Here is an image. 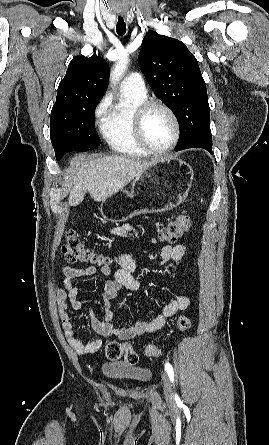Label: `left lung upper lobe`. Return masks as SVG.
Returning <instances> with one entry per match:
<instances>
[{
	"mask_svg": "<svg viewBox=\"0 0 269 445\" xmlns=\"http://www.w3.org/2000/svg\"><path fill=\"white\" fill-rule=\"evenodd\" d=\"M138 63L153 92L179 122L181 137L176 151L199 147L211 153L206 84L186 45L149 31L142 41Z\"/></svg>",
	"mask_w": 269,
	"mask_h": 445,
	"instance_id": "1",
	"label": "left lung upper lobe"
}]
</instances>
